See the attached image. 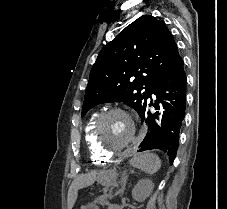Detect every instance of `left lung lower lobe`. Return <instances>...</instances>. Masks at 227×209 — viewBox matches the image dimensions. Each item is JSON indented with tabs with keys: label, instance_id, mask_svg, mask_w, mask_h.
<instances>
[{
	"label": "left lung lower lobe",
	"instance_id": "0a47b994",
	"mask_svg": "<svg viewBox=\"0 0 227 209\" xmlns=\"http://www.w3.org/2000/svg\"><path fill=\"white\" fill-rule=\"evenodd\" d=\"M153 94L156 101L151 99L140 114L141 121L148 123L149 132L138 146V151L161 149L167 152L172 164L178 149L179 130L186 106V75L181 56L163 75ZM159 103L164 109L163 113H151L149 108L153 106L159 109Z\"/></svg>",
	"mask_w": 227,
	"mask_h": 209
}]
</instances>
